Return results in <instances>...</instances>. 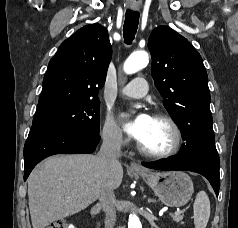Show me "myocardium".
I'll list each match as a JSON object with an SVG mask.
<instances>
[{
    "label": "myocardium",
    "instance_id": "f54148a6",
    "mask_svg": "<svg viewBox=\"0 0 238 228\" xmlns=\"http://www.w3.org/2000/svg\"><path fill=\"white\" fill-rule=\"evenodd\" d=\"M152 118L163 120L166 123H168V125L171 127L172 132H173V143H172L171 147L169 149H167L166 151L152 152V151L146 150L139 143V141H137V143H136L137 150L139 151V153L141 155L148 157V158L165 159V158L172 157L179 151V149L181 147L182 133H181L180 127L178 126L177 122L170 115L163 113V112L154 113L152 115Z\"/></svg>",
    "mask_w": 238,
    "mask_h": 228
}]
</instances>
